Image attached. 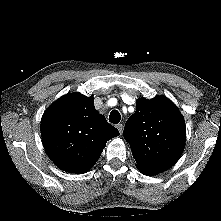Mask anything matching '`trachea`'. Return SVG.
Returning a JSON list of instances; mask_svg holds the SVG:
<instances>
[{
    "label": "trachea",
    "instance_id": "obj_1",
    "mask_svg": "<svg viewBox=\"0 0 221 221\" xmlns=\"http://www.w3.org/2000/svg\"><path fill=\"white\" fill-rule=\"evenodd\" d=\"M121 119V115L117 110H113L111 111L110 115H109V121L113 124H117L120 122Z\"/></svg>",
    "mask_w": 221,
    "mask_h": 221
}]
</instances>
